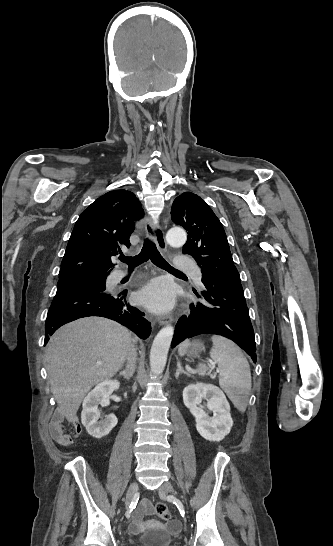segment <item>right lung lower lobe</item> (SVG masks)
I'll list each match as a JSON object with an SVG mask.
<instances>
[{
    "instance_id": "obj_1",
    "label": "right lung lower lobe",
    "mask_w": 333,
    "mask_h": 546,
    "mask_svg": "<svg viewBox=\"0 0 333 546\" xmlns=\"http://www.w3.org/2000/svg\"><path fill=\"white\" fill-rule=\"evenodd\" d=\"M127 291L107 294L95 289L68 291L56 294L46 318L45 344L62 325L82 317L100 316L126 326L141 339L151 333V324L144 313L131 306L126 300Z\"/></svg>"
}]
</instances>
